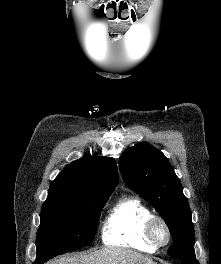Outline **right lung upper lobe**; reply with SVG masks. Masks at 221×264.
<instances>
[{
	"label": "right lung upper lobe",
	"mask_w": 221,
	"mask_h": 264,
	"mask_svg": "<svg viewBox=\"0 0 221 264\" xmlns=\"http://www.w3.org/2000/svg\"><path fill=\"white\" fill-rule=\"evenodd\" d=\"M117 183L118 170L112 157L86 155L67 165L56 177L47 199L71 202L111 194Z\"/></svg>",
	"instance_id": "right-lung-upper-lobe-1"
}]
</instances>
